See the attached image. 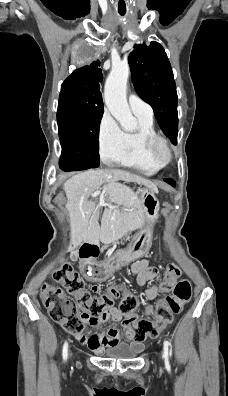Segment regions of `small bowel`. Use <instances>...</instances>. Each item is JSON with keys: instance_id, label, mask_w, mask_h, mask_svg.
<instances>
[{"instance_id": "c3829d8e", "label": "small bowel", "mask_w": 228, "mask_h": 396, "mask_svg": "<svg viewBox=\"0 0 228 396\" xmlns=\"http://www.w3.org/2000/svg\"><path fill=\"white\" fill-rule=\"evenodd\" d=\"M133 255L128 251L119 252L116 256L111 257L104 262L94 263L85 261L81 264V271L87 277L103 278L112 274L120 267L132 262ZM158 269L150 265L147 258L136 260L131 264L132 281L139 286H145L148 282L155 279L158 275ZM95 293H100V287L92 286ZM160 288L153 285L147 288L142 296L146 299L152 300L158 296ZM110 315L113 320L119 321L122 314L115 308L110 309ZM76 339L83 345H86L91 351L101 354L106 346L128 342L138 352L143 350L141 341L135 339L134 330L130 327L121 329L115 324H112L108 329L99 331H87L75 334Z\"/></svg>"}]
</instances>
